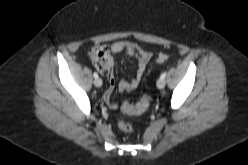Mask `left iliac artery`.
<instances>
[{
    "label": "left iliac artery",
    "instance_id": "obj_1",
    "mask_svg": "<svg viewBox=\"0 0 248 165\" xmlns=\"http://www.w3.org/2000/svg\"><path fill=\"white\" fill-rule=\"evenodd\" d=\"M166 74H167L166 72H163V73L161 74L160 78H161V79H165Z\"/></svg>",
    "mask_w": 248,
    "mask_h": 165
}]
</instances>
